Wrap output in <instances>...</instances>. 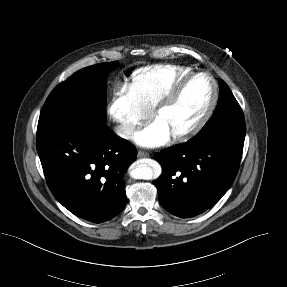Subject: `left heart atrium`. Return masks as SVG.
Here are the masks:
<instances>
[{
    "instance_id": "left-heart-atrium-1",
    "label": "left heart atrium",
    "mask_w": 287,
    "mask_h": 287,
    "mask_svg": "<svg viewBox=\"0 0 287 287\" xmlns=\"http://www.w3.org/2000/svg\"><path fill=\"white\" fill-rule=\"evenodd\" d=\"M170 132L160 121L155 120L135 135V141L144 147H157L165 144Z\"/></svg>"
}]
</instances>
